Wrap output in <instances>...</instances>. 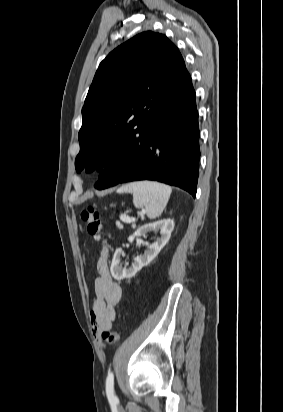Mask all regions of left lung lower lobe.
Returning a JSON list of instances; mask_svg holds the SVG:
<instances>
[{
	"label": "left lung lower lobe",
	"mask_w": 283,
	"mask_h": 412,
	"mask_svg": "<svg viewBox=\"0 0 283 412\" xmlns=\"http://www.w3.org/2000/svg\"><path fill=\"white\" fill-rule=\"evenodd\" d=\"M199 158L198 112L188 75L145 135L108 158L95 187L153 180L177 186L195 197Z\"/></svg>",
	"instance_id": "1"
}]
</instances>
